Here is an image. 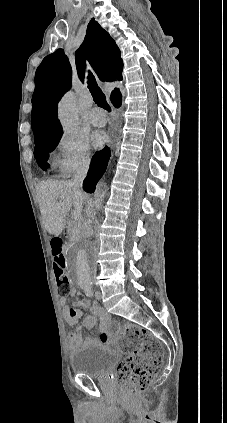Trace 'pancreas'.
Listing matches in <instances>:
<instances>
[{
  "label": "pancreas",
  "instance_id": "pancreas-1",
  "mask_svg": "<svg viewBox=\"0 0 227 423\" xmlns=\"http://www.w3.org/2000/svg\"><path fill=\"white\" fill-rule=\"evenodd\" d=\"M87 227L84 219H76V221H73L70 225V229L72 231L71 233V241H74V239H78V237H81L83 235V231Z\"/></svg>",
  "mask_w": 227,
  "mask_h": 423
}]
</instances>
